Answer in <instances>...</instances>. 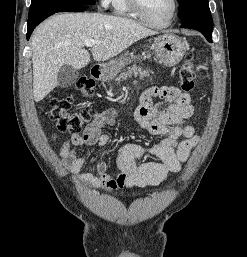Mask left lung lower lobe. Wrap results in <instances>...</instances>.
<instances>
[{
    "label": "left lung lower lobe",
    "mask_w": 247,
    "mask_h": 257,
    "mask_svg": "<svg viewBox=\"0 0 247 257\" xmlns=\"http://www.w3.org/2000/svg\"><path fill=\"white\" fill-rule=\"evenodd\" d=\"M181 27L198 30L209 42H212L213 21H207L199 17H190L183 20Z\"/></svg>",
    "instance_id": "obj_1"
}]
</instances>
